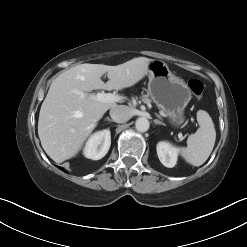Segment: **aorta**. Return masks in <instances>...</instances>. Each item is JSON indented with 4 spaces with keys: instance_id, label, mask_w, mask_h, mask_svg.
<instances>
[{
    "instance_id": "obj_1",
    "label": "aorta",
    "mask_w": 247,
    "mask_h": 247,
    "mask_svg": "<svg viewBox=\"0 0 247 247\" xmlns=\"http://www.w3.org/2000/svg\"><path fill=\"white\" fill-rule=\"evenodd\" d=\"M149 125L150 123L145 117H139L135 122L136 129L139 132H146L149 129Z\"/></svg>"
}]
</instances>
